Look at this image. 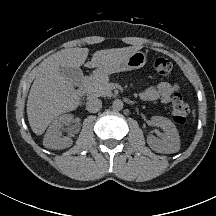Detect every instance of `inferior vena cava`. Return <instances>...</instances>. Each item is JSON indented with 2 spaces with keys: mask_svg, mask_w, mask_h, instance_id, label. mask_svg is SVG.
<instances>
[{
  "mask_svg": "<svg viewBox=\"0 0 216 216\" xmlns=\"http://www.w3.org/2000/svg\"><path fill=\"white\" fill-rule=\"evenodd\" d=\"M102 108V102L98 98H90L86 103V109L90 113H96Z\"/></svg>",
  "mask_w": 216,
  "mask_h": 216,
  "instance_id": "obj_1",
  "label": "inferior vena cava"
}]
</instances>
